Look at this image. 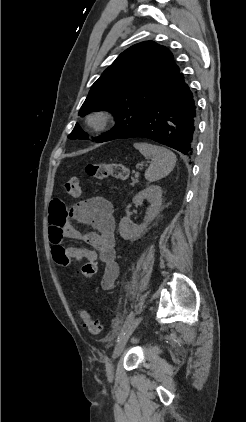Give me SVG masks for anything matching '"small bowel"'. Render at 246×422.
<instances>
[{"mask_svg":"<svg viewBox=\"0 0 246 422\" xmlns=\"http://www.w3.org/2000/svg\"><path fill=\"white\" fill-rule=\"evenodd\" d=\"M73 220L92 226L95 232L82 234ZM115 219L112 203L96 196L79 201L67 207L60 199H53L49 207V237L52 252L62 248L73 261L100 262L104 265L101 288L109 291L114 288L119 275L115 251ZM65 239L83 240L91 248L63 246Z\"/></svg>","mask_w":246,"mask_h":422,"instance_id":"c3829d8e","label":"small bowel"}]
</instances>
